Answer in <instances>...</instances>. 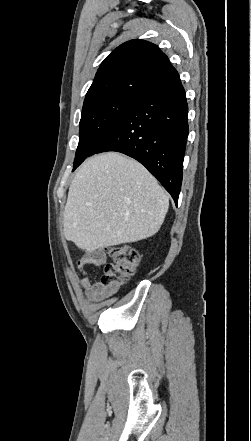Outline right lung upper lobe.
Masks as SVG:
<instances>
[{"label": "right lung upper lobe", "instance_id": "obj_1", "mask_svg": "<svg viewBox=\"0 0 251 441\" xmlns=\"http://www.w3.org/2000/svg\"><path fill=\"white\" fill-rule=\"evenodd\" d=\"M176 73L155 44L139 39L125 42L100 65L83 107L107 98L141 97Z\"/></svg>", "mask_w": 251, "mask_h": 441}]
</instances>
